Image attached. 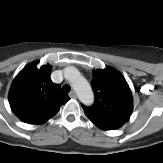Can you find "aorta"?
<instances>
[{
	"instance_id": "1",
	"label": "aorta",
	"mask_w": 163,
	"mask_h": 163,
	"mask_svg": "<svg viewBox=\"0 0 163 163\" xmlns=\"http://www.w3.org/2000/svg\"><path fill=\"white\" fill-rule=\"evenodd\" d=\"M64 75L73 86L79 100L85 105H91L94 101V94L89 82L74 67L66 68Z\"/></svg>"
}]
</instances>
